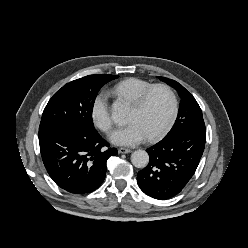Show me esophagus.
I'll list each match as a JSON object with an SVG mask.
<instances>
[{"label":"esophagus","instance_id":"obj_1","mask_svg":"<svg viewBox=\"0 0 248 248\" xmlns=\"http://www.w3.org/2000/svg\"><path fill=\"white\" fill-rule=\"evenodd\" d=\"M131 152H132V150L128 149V148H119L118 149L119 154H128V153H131Z\"/></svg>","mask_w":248,"mask_h":248}]
</instances>
